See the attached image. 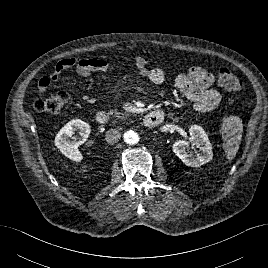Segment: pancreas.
I'll use <instances>...</instances> for the list:
<instances>
[{
  "label": "pancreas",
  "instance_id": "cf45deb5",
  "mask_svg": "<svg viewBox=\"0 0 268 268\" xmlns=\"http://www.w3.org/2000/svg\"><path fill=\"white\" fill-rule=\"evenodd\" d=\"M109 114L114 115V116H116L118 118H121V119L127 117V115L125 113H119L116 109L115 110H110Z\"/></svg>",
  "mask_w": 268,
  "mask_h": 268
}]
</instances>
